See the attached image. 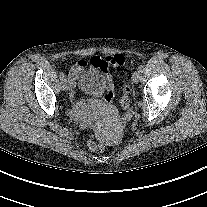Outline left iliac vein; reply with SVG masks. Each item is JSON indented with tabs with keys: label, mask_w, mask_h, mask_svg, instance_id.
<instances>
[{
	"label": "left iliac vein",
	"mask_w": 207,
	"mask_h": 207,
	"mask_svg": "<svg viewBox=\"0 0 207 207\" xmlns=\"http://www.w3.org/2000/svg\"><path fill=\"white\" fill-rule=\"evenodd\" d=\"M140 80V72L136 71L133 75H132V81L134 83H138Z\"/></svg>",
	"instance_id": "obj_1"
}]
</instances>
